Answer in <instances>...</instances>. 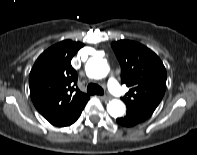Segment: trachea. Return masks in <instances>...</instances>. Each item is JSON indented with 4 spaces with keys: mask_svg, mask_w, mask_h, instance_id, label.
<instances>
[{
    "mask_svg": "<svg viewBox=\"0 0 197 155\" xmlns=\"http://www.w3.org/2000/svg\"><path fill=\"white\" fill-rule=\"evenodd\" d=\"M87 93L90 94V95H103L104 94V91L103 89L95 84V83H90L88 86H87Z\"/></svg>",
    "mask_w": 197,
    "mask_h": 155,
    "instance_id": "1",
    "label": "trachea"
}]
</instances>
